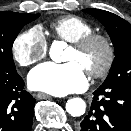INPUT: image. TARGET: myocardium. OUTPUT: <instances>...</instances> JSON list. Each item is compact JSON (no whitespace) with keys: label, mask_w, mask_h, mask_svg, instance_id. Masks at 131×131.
<instances>
[{"label":"myocardium","mask_w":131,"mask_h":131,"mask_svg":"<svg viewBox=\"0 0 131 131\" xmlns=\"http://www.w3.org/2000/svg\"><path fill=\"white\" fill-rule=\"evenodd\" d=\"M96 44L104 48L105 57L98 68L90 69L87 72L92 78L99 79L105 77L110 72L115 62L116 50L112 39L105 34L91 33L73 42L71 48L78 53H84Z\"/></svg>","instance_id":"obj_1"}]
</instances>
